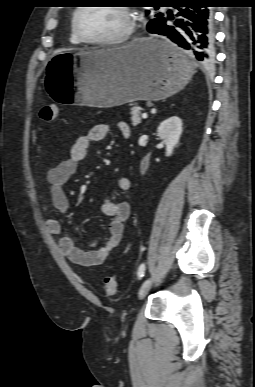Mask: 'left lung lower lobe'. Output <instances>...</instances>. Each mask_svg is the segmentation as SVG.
Segmentation results:
<instances>
[{"label":"left lung lower lobe","instance_id":"1","mask_svg":"<svg viewBox=\"0 0 255 387\" xmlns=\"http://www.w3.org/2000/svg\"><path fill=\"white\" fill-rule=\"evenodd\" d=\"M171 4L179 10L176 18L168 12V18L173 25H167L168 18L159 17L151 20L147 30L153 34L166 36L168 43H162L161 49L165 55L173 57L178 63H184L178 56L177 47L188 51L199 61L201 66L208 67L214 62V20L210 7L214 0H176ZM185 5L184 9L179 8Z\"/></svg>","mask_w":255,"mask_h":387}]
</instances>
